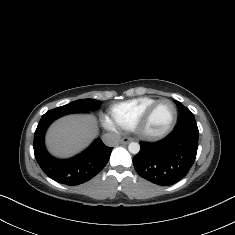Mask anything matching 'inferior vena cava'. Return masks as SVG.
<instances>
[{"label":"inferior vena cava","mask_w":235,"mask_h":235,"mask_svg":"<svg viewBox=\"0 0 235 235\" xmlns=\"http://www.w3.org/2000/svg\"><path fill=\"white\" fill-rule=\"evenodd\" d=\"M120 139V135L113 132L105 133L102 136V141L109 147H116L119 144Z\"/></svg>","instance_id":"obj_1"}]
</instances>
